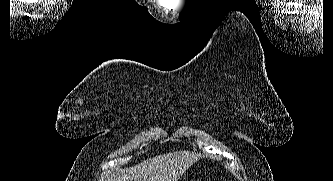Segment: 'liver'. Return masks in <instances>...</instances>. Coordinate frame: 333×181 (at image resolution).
<instances>
[{"label": "liver", "instance_id": "liver-1", "mask_svg": "<svg viewBox=\"0 0 333 181\" xmlns=\"http://www.w3.org/2000/svg\"><path fill=\"white\" fill-rule=\"evenodd\" d=\"M200 158V154L190 151L159 155L133 167L117 170L106 181H178Z\"/></svg>", "mask_w": 333, "mask_h": 181}]
</instances>
